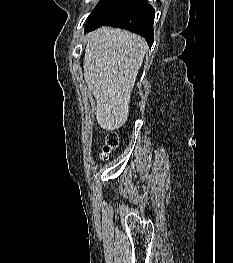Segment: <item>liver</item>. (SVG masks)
I'll list each match as a JSON object with an SVG mask.
<instances>
[{"instance_id": "obj_1", "label": "liver", "mask_w": 233, "mask_h": 263, "mask_svg": "<svg viewBox=\"0 0 233 263\" xmlns=\"http://www.w3.org/2000/svg\"><path fill=\"white\" fill-rule=\"evenodd\" d=\"M147 50L143 37L101 27L89 34L84 54V79L96 99L95 115L104 130L124 125L131 93Z\"/></svg>"}]
</instances>
